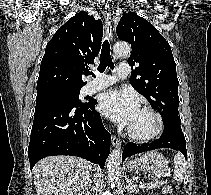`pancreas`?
<instances>
[{"mask_svg": "<svg viewBox=\"0 0 211 195\" xmlns=\"http://www.w3.org/2000/svg\"><path fill=\"white\" fill-rule=\"evenodd\" d=\"M163 184H164L163 182H155V183L149 184L150 187L148 188L160 189Z\"/></svg>", "mask_w": 211, "mask_h": 195, "instance_id": "pancreas-1", "label": "pancreas"}]
</instances>
